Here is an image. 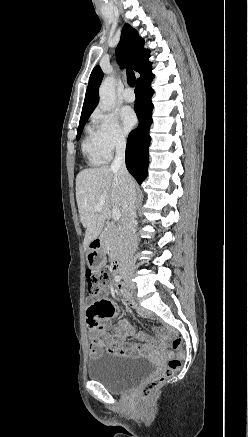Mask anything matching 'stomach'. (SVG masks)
Here are the masks:
<instances>
[{
	"instance_id": "1",
	"label": "stomach",
	"mask_w": 248,
	"mask_h": 437,
	"mask_svg": "<svg viewBox=\"0 0 248 437\" xmlns=\"http://www.w3.org/2000/svg\"><path fill=\"white\" fill-rule=\"evenodd\" d=\"M88 265H90L91 272H104L105 265L101 253L91 252L87 256Z\"/></svg>"
}]
</instances>
